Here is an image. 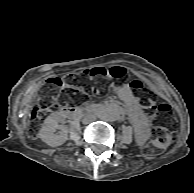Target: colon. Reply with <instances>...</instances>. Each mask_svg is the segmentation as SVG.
Returning a JSON list of instances; mask_svg holds the SVG:
<instances>
[{
  "label": "colon",
  "instance_id": "1",
  "mask_svg": "<svg viewBox=\"0 0 194 193\" xmlns=\"http://www.w3.org/2000/svg\"><path fill=\"white\" fill-rule=\"evenodd\" d=\"M128 75V70L122 66L94 67L78 77L69 74L64 78L51 77L46 80L39 94L37 104L33 108L28 133L35 139L44 119L59 106L66 105L74 96L91 95V91L79 87L82 80H95L99 86L105 85V80H122ZM130 87L136 92H145L139 98L140 105L146 110L148 116L159 118L161 123L156 124L152 131V139L145 147L147 155L160 154L171 144L175 135V123L172 118V109L169 105L159 103L152 94L149 93L146 84L140 79L130 82ZM68 89L67 91L65 89Z\"/></svg>",
  "mask_w": 194,
  "mask_h": 193
}]
</instances>
